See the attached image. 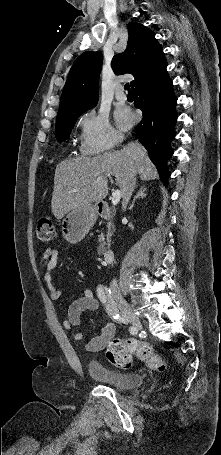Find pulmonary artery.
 <instances>
[{
    "label": "pulmonary artery",
    "instance_id": "pulmonary-artery-1",
    "mask_svg": "<svg viewBox=\"0 0 221 455\" xmlns=\"http://www.w3.org/2000/svg\"><path fill=\"white\" fill-rule=\"evenodd\" d=\"M115 98L120 103H124L127 100V96L124 93L123 87L121 85L117 86L115 89Z\"/></svg>",
    "mask_w": 221,
    "mask_h": 455
}]
</instances>
